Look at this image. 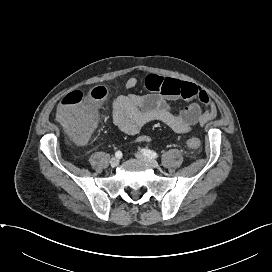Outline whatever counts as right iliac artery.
<instances>
[{"label":"right iliac artery","instance_id":"1","mask_svg":"<svg viewBox=\"0 0 272 272\" xmlns=\"http://www.w3.org/2000/svg\"><path fill=\"white\" fill-rule=\"evenodd\" d=\"M115 156L120 159L122 157V152L121 151H116Z\"/></svg>","mask_w":272,"mask_h":272}]
</instances>
